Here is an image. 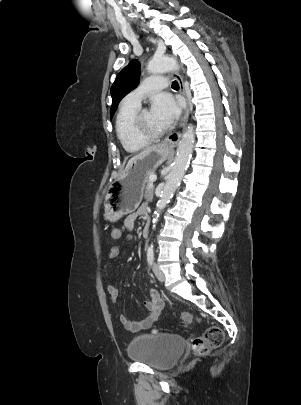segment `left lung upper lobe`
<instances>
[{"label":"left lung upper lobe","mask_w":301,"mask_h":405,"mask_svg":"<svg viewBox=\"0 0 301 405\" xmlns=\"http://www.w3.org/2000/svg\"><path fill=\"white\" fill-rule=\"evenodd\" d=\"M140 76V63L137 60H132L130 63L117 75L111 87L112 106L110 117L112 118L120 100L131 90L137 87Z\"/></svg>","instance_id":"obj_1"}]
</instances>
